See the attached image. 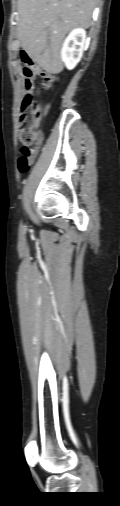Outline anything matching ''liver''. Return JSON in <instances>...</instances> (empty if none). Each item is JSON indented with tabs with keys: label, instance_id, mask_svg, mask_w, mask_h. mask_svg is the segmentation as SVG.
Returning a JSON list of instances; mask_svg holds the SVG:
<instances>
[{
	"label": "liver",
	"instance_id": "6515ba94",
	"mask_svg": "<svg viewBox=\"0 0 120 506\" xmlns=\"http://www.w3.org/2000/svg\"><path fill=\"white\" fill-rule=\"evenodd\" d=\"M96 0H18V39L27 55L50 73L63 69L61 46L74 27L88 28Z\"/></svg>",
	"mask_w": 120,
	"mask_h": 506
}]
</instances>
